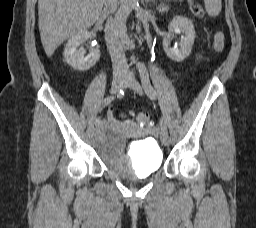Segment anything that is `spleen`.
<instances>
[{
    "label": "spleen",
    "mask_w": 256,
    "mask_h": 228,
    "mask_svg": "<svg viewBox=\"0 0 256 228\" xmlns=\"http://www.w3.org/2000/svg\"><path fill=\"white\" fill-rule=\"evenodd\" d=\"M205 10L207 14L211 17H216L219 15L222 9L221 0H204Z\"/></svg>",
    "instance_id": "spleen-1"
}]
</instances>
